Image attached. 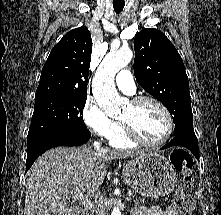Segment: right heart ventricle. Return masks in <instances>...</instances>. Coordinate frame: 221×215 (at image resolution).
<instances>
[{
    "label": "right heart ventricle",
    "instance_id": "right-heart-ventricle-1",
    "mask_svg": "<svg viewBox=\"0 0 221 215\" xmlns=\"http://www.w3.org/2000/svg\"><path fill=\"white\" fill-rule=\"evenodd\" d=\"M118 123V128L116 133L109 138L112 146L120 149H130L133 148L136 144L133 143L125 134L123 126L121 123Z\"/></svg>",
    "mask_w": 221,
    "mask_h": 215
}]
</instances>
